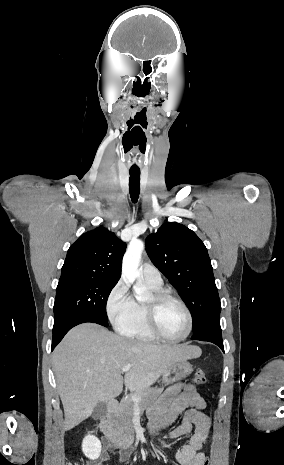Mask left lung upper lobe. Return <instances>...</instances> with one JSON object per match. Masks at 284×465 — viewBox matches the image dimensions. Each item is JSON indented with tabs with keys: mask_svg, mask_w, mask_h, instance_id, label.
<instances>
[{
	"mask_svg": "<svg viewBox=\"0 0 284 465\" xmlns=\"http://www.w3.org/2000/svg\"><path fill=\"white\" fill-rule=\"evenodd\" d=\"M146 250L186 302L193 333L210 322H220L221 304L211 261L204 243L192 230L177 222L165 223L147 237Z\"/></svg>",
	"mask_w": 284,
	"mask_h": 465,
	"instance_id": "5c2ea615",
	"label": "left lung upper lobe"
}]
</instances>
